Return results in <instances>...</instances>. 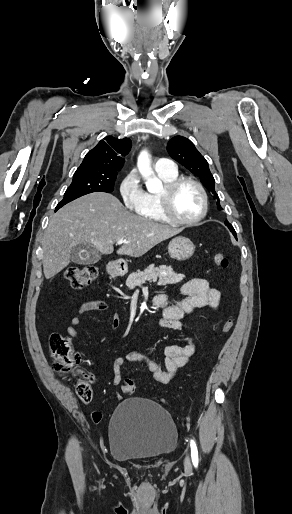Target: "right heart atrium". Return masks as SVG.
I'll return each mask as SVG.
<instances>
[{"label":"right heart atrium","mask_w":292,"mask_h":514,"mask_svg":"<svg viewBox=\"0 0 292 514\" xmlns=\"http://www.w3.org/2000/svg\"><path fill=\"white\" fill-rule=\"evenodd\" d=\"M120 200H124V209H136L142 206L145 197V190L139 182L135 171L127 172L118 184Z\"/></svg>","instance_id":"obj_1"}]
</instances>
